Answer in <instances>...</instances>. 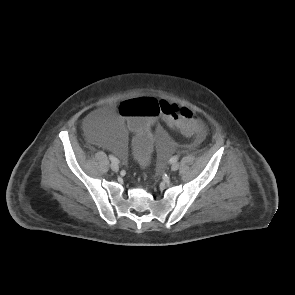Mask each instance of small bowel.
<instances>
[{
	"label": "small bowel",
	"instance_id": "1",
	"mask_svg": "<svg viewBox=\"0 0 295 295\" xmlns=\"http://www.w3.org/2000/svg\"><path fill=\"white\" fill-rule=\"evenodd\" d=\"M157 122V121H156ZM156 122H155V124L153 125V127L156 125ZM169 126H171V127H173L170 123H168L167 121H165ZM129 128V127H128ZM205 133V132H204ZM204 133L202 134V135H199V136H197V139L198 140H201L202 138H203V136H204ZM150 134H151V132H150ZM101 145V144H100Z\"/></svg>",
	"mask_w": 295,
	"mask_h": 295
}]
</instances>
